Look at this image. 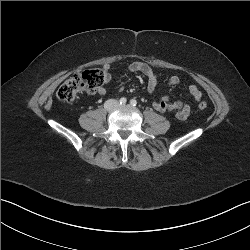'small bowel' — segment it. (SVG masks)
<instances>
[{"label":"small bowel","instance_id":"obj_1","mask_svg":"<svg viewBox=\"0 0 250 250\" xmlns=\"http://www.w3.org/2000/svg\"><path fill=\"white\" fill-rule=\"evenodd\" d=\"M128 71L130 73H140L147 78V90L149 93H153L159 82H162L165 86H175L180 83V78L176 75L170 76L168 78H161V76L156 73L148 64L143 62H133L128 66ZM104 74V84H108L112 80L111 66L105 64L102 68ZM123 90V87L119 88V92ZM189 93L193 100L199 101L201 99V91L195 85L189 86ZM97 93L100 95L106 94V89L101 85L97 89ZM153 107L158 112H170L175 111L176 118L183 121L186 120L191 113L190 102H184L181 100L171 101L169 96H162L153 102Z\"/></svg>","mask_w":250,"mask_h":250}]
</instances>
